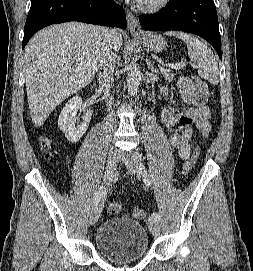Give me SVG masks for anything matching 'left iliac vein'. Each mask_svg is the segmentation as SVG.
Returning <instances> with one entry per match:
<instances>
[{"label": "left iliac vein", "mask_w": 253, "mask_h": 271, "mask_svg": "<svg viewBox=\"0 0 253 271\" xmlns=\"http://www.w3.org/2000/svg\"><path fill=\"white\" fill-rule=\"evenodd\" d=\"M141 163V156L137 152H132L131 157L127 160V169L129 173L133 176H139V165ZM148 225L153 236L157 237L160 234L159 222L154 218L150 217L148 220Z\"/></svg>", "instance_id": "obj_1"}]
</instances>
